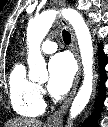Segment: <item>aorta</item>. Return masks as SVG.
<instances>
[{"instance_id":"aorta-1","label":"aorta","mask_w":108,"mask_h":127,"mask_svg":"<svg viewBox=\"0 0 108 127\" xmlns=\"http://www.w3.org/2000/svg\"><path fill=\"white\" fill-rule=\"evenodd\" d=\"M62 16L72 25L82 59L84 70L83 83L72 103L70 118L73 120L89 102L93 89V44L87 24L82 15L75 9L67 8L60 11ZM59 11L47 10L31 19L27 27L29 78L33 81L46 80L48 72L40 45L51 28Z\"/></svg>"}]
</instances>
